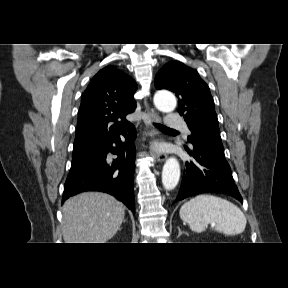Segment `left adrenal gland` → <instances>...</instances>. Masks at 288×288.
Returning <instances> with one entry per match:
<instances>
[{
  "label": "left adrenal gland",
  "instance_id": "left-adrenal-gland-1",
  "mask_svg": "<svg viewBox=\"0 0 288 288\" xmlns=\"http://www.w3.org/2000/svg\"><path fill=\"white\" fill-rule=\"evenodd\" d=\"M178 231H179V234H178L179 236H180L182 233H184V232L181 231V229H180L179 227H178Z\"/></svg>",
  "mask_w": 288,
  "mask_h": 288
}]
</instances>
